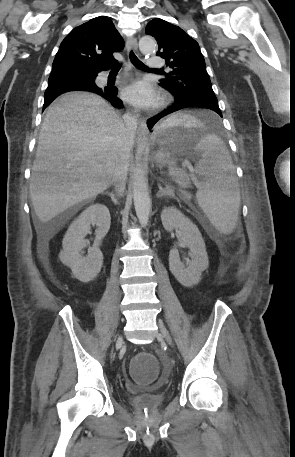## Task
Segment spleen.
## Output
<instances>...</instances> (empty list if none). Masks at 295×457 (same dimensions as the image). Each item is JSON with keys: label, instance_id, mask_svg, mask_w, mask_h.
<instances>
[{"label": "spleen", "instance_id": "spleen-1", "mask_svg": "<svg viewBox=\"0 0 295 457\" xmlns=\"http://www.w3.org/2000/svg\"><path fill=\"white\" fill-rule=\"evenodd\" d=\"M175 125L197 127L203 126V122L193 115L177 113L167 118L160 128ZM195 149L201 155L197 171L203 177L197 183L198 204L218 232L230 234L236 227L241 202L231 156L222 140L214 134L207 135ZM169 175L182 183L187 181L184 172L176 167H169Z\"/></svg>", "mask_w": 295, "mask_h": 457}]
</instances>
